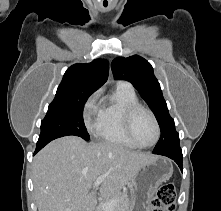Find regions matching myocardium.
Listing matches in <instances>:
<instances>
[{"mask_svg": "<svg viewBox=\"0 0 221 211\" xmlns=\"http://www.w3.org/2000/svg\"><path fill=\"white\" fill-rule=\"evenodd\" d=\"M140 111H145L150 115V117L153 120L155 129H156L155 140L149 145L141 144L140 142H138V140L136 139V137L134 135V131H133L134 118H135L136 114ZM123 126H124V131H125L126 136L136 147L151 148V147L155 146L160 139L161 131H160V125H159L156 115L154 114V112L150 108H148L140 103L130 105L125 109L124 114H123Z\"/></svg>", "mask_w": 221, "mask_h": 211, "instance_id": "obj_1", "label": "myocardium"}]
</instances>
